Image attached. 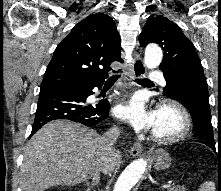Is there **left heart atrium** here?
<instances>
[{"label":"left heart atrium","instance_id":"left-heart-atrium-1","mask_svg":"<svg viewBox=\"0 0 221 191\" xmlns=\"http://www.w3.org/2000/svg\"><path fill=\"white\" fill-rule=\"evenodd\" d=\"M115 114L137 131L154 129L158 121V113L148 110L144 99L138 95L118 104L115 108Z\"/></svg>","mask_w":221,"mask_h":191}]
</instances>
